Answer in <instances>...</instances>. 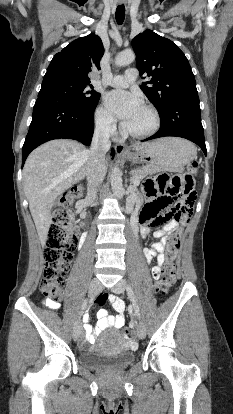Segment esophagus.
Segmentation results:
<instances>
[{"instance_id": "esophagus-1", "label": "esophagus", "mask_w": 233, "mask_h": 414, "mask_svg": "<svg viewBox=\"0 0 233 414\" xmlns=\"http://www.w3.org/2000/svg\"><path fill=\"white\" fill-rule=\"evenodd\" d=\"M120 3H123L124 0H119ZM115 152L118 156L120 155H125L128 153V149L126 148V146L123 143H117L115 145Z\"/></svg>"}]
</instances>
